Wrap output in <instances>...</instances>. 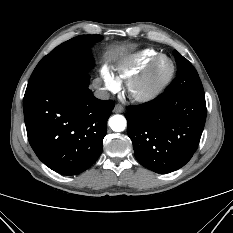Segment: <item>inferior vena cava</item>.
<instances>
[{"mask_svg":"<svg viewBox=\"0 0 233 233\" xmlns=\"http://www.w3.org/2000/svg\"><path fill=\"white\" fill-rule=\"evenodd\" d=\"M95 97L101 100H107L110 97V94L108 91L104 89H98L94 93Z\"/></svg>","mask_w":233,"mask_h":233,"instance_id":"602c4592","label":"inferior vena cava"}]
</instances>
